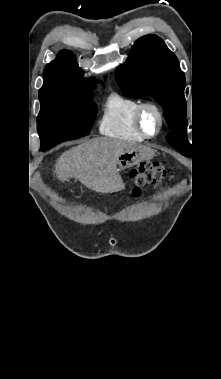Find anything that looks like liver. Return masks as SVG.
I'll use <instances>...</instances> for the list:
<instances>
[{"label": "liver", "mask_w": 221, "mask_h": 379, "mask_svg": "<svg viewBox=\"0 0 221 379\" xmlns=\"http://www.w3.org/2000/svg\"><path fill=\"white\" fill-rule=\"evenodd\" d=\"M134 145L106 137L88 140L64 152L56 161L55 173L62 182L75 178L96 192H117L123 187L116 167L118 157Z\"/></svg>", "instance_id": "obj_1"}]
</instances>
